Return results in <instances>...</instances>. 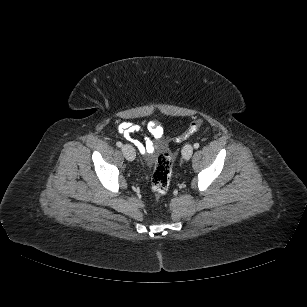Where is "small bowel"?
<instances>
[{
	"label": "small bowel",
	"instance_id": "obj_1",
	"mask_svg": "<svg viewBox=\"0 0 307 307\" xmlns=\"http://www.w3.org/2000/svg\"><path fill=\"white\" fill-rule=\"evenodd\" d=\"M147 131L152 135V138L146 137L144 142L133 140L135 146L142 154H152L157 148L164 146L163 126L158 121H149L146 124ZM120 134L128 139H132V135L142 128L132 122H122L118 125Z\"/></svg>",
	"mask_w": 307,
	"mask_h": 307
}]
</instances>
